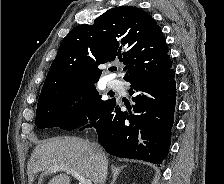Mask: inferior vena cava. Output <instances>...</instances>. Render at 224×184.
<instances>
[{
    "mask_svg": "<svg viewBox=\"0 0 224 184\" xmlns=\"http://www.w3.org/2000/svg\"><path fill=\"white\" fill-rule=\"evenodd\" d=\"M91 146L94 150V153L98 162L99 183L104 184L107 178V167H108L107 158L98 143L93 142L91 143Z\"/></svg>",
    "mask_w": 224,
    "mask_h": 184,
    "instance_id": "1",
    "label": "inferior vena cava"
}]
</instances>
